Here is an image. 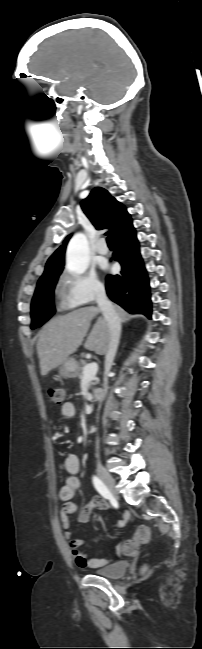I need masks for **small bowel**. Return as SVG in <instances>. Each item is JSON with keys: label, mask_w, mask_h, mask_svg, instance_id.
Masks as SVG:
<instances>
[{"label": "small bowel", "mask_w": 202, "mask_h": 649, "mask_svg": "<svg viewBox=\"0 0 202 649\" xmlns=\"http://www.w3.org/2000/svg\"><path fill=\"white\" fill-rule=\"evenodd\" d=\"M76 414L75 405L70 402H64L61 406V415L66 419H71ZM80 460L77 456L72 455L65 459L64 469L68 473V476L65 480L64 485L60 488L59 498L63 502L61 511H60V520L63 529L65 530V538L68 542V548L71 557L75 561L76 565L81 568H100L105 566L110 562L108 559L104 558H90L87 555L83 554L79 548L84 544V540L74 536L70 530L71 521L70 515L78 512L76 519L77 523H87L93 514L94 511L104 510L107 507V504L104 499L101 497H93L91 501L82 507L80 510L78 506L72 501L75 494L81 487V482L78 477L80 472ZM129 519V514L125 513L124 517L119 520L116 524L118 528H122ZM122 546L118 545L116 552L120 554Z\"/></svg>", "instance_id": "c3829d8e"}]
</instances>
